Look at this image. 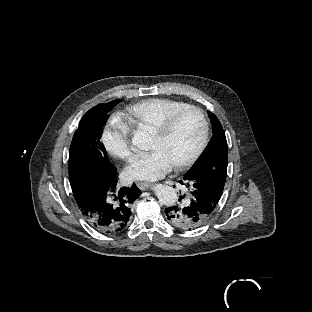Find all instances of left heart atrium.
<instances>
[{
	"label": "left heart atrium",
	"instance_id": "obj_1",
	"mask_svg": "<svg viewBox=\"0 0 312 312\" xmlns=\"http://www.w3.org/2000/svg\"><path fill=\"white\" fill-rule=\"evenodd\" d=\"M174 170L172 161L158 149L151 148L146 156L140 157L126 167V178L132 183L157 182Z\"/></svg>",
	"mask_w": 312,
	"mask_h": 312
}]
</instances>
